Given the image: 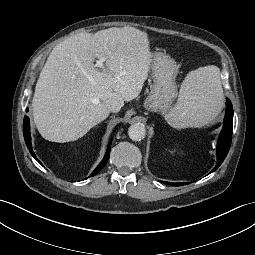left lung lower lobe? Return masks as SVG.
<instances>
[{"instance_id": "left-lung-lower-lobe-1", "label": "left lung lower lobe", "mask_w": 255, "mask_h": 255, "mask_svg": "<svg viewBox=\"0 0 255 255\" xmlns=\"http://www.w3.org/2000/svg\"><path fill=\"white\" fill-rule=\"evenodd\" d=\"M226 105H227V110H226V115L224 119V126L221 131V134L218 140V145H217V165L214 167V169L211 172H214L222 164L225 157L227 156V153L231 145L232 129H233V108L229 99H227ZM163 183L174 185V186H180V185L186 184V183H170V182H163Z\"/></svg>"}]
</instances>
